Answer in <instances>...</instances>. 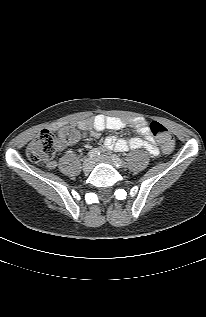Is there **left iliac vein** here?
I'll return each mask as SVG.
<instances>
[{
  "instance_id": "1",
  "label": "left iliac vein",
  "mask_w": 206,
  "mask_h": 317,
  "mask_svg": "<svg viewBox=\"0 0 206 317\" xmlns=\"http://www.w3.org/2000/svg\"><path fill=\"white\" fill-rule=\"evenodd\" d=\"M103 162L114 165V162L111 160V158L108 156H105V155L97 157L94 159L95 164L103 163Z\"/></svg>"
}]
</instances>
